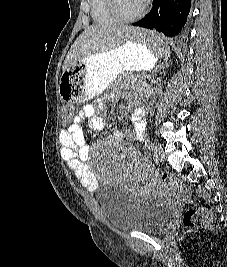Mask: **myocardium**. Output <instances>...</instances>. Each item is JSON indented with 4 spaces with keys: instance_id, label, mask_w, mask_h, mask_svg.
<instances>
[{
    "instance_id": "myocardium-1",
    "label": "myocardium",
    "mask_w": 227,
    "mask_h": 267,
    "mask_svg": "<svg viewBox=\"0 0 227 267\" xmlns=\"http://www.w3.org/2000/svg\"><path fill=\"white\" fill-rule=\"evenodd\" d=\"M108 7L112 15L120 22L130 23L141 19L147 12V2H144L142 8L134 15L124 14L119 6V0H108Z\"/></svg>"
}]
</instances>
